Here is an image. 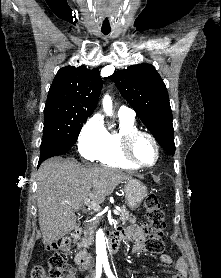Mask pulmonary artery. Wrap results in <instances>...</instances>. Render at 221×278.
<instances>
[{
	"instance_id": "1",
	"label": "pulmonary artery",
	"mask_w": 221,
	"mask_h": 278,
	"mask_svg": "<svg viewBox=\"0 0 221 278\" xmlns=\"http://www.w3.org/2000/svg\"><path fill=\"white\" fill-rule=\"evenodd\" d=\"M118 116L134 119L135 111L127 106H121L118 110Z\"/></svg>"
}]
</instances>
